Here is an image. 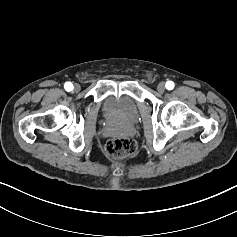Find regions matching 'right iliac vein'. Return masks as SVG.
Here are the masks:
<instances>
[{"label":"right iliac vein","mask_w":237,"mask_h":237,"mask_svg":"<svg viewBox=\"0 0 237 237\" xmlns=\"http://www.w3.org/2000/svg\"><path fill=\"white\" fill-rule=\"evenodd\" d=\"M74 90L76 92H79L80 91V86L78 84H74Z\"/></svg>","instance_id":"1"}]
</instances>
